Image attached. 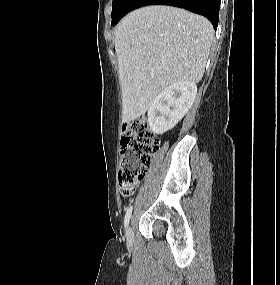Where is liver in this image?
<instances>
[{
  "instance_id": "6515ba94",
  "label": "liver",
  "mask_w": 280,
  "mask_h": 285,
  "mask_svg": "<svg viewBox=\"0 0 280 285\" xmlns=\"http://www.w3.org/2000/svg\"><path fill=\"white\" fill-rule=\"evenodd\" d=\"M213 35L206 18L179 8L149 6L127 14L114 39L123 121L144 114L167 86L199 82Z\"/></svg>"
}]
</instances>
